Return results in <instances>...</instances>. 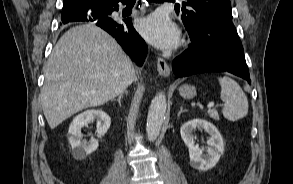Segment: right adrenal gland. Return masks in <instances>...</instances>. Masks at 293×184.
<instances>
[{"mask_svg": "<svg viewBox=\"0 0 293 184\" xmlns=\"http://www.w3.org/2000/svg\"><path fill=\"white\" fill-rule=\"evenodd\" d=\"M126 94L127 95V92H124V93H121L118 97V99L114 100V101H117L119 106H121V99L123 98V95Z\"/></svg>", "mask_w": 293, "mask_h": 184, "instance_id": "obj_1", "label": "right adrenal gland"}]
</instances>
